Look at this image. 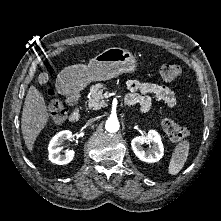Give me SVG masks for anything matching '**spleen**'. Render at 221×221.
I'll list each match as a JSON object with an SVG mask.
<instances>
[{
	"mask_svg": "<svg viewBox=\"0 0 221 221\" xmlns=\"http://www.w3.org/2000/svg\"><path fill=\"white\" fill-rule=\"evenodd\" d=\"M189 147L188 140H184L176 145L168 166L169 174L176 175L183 168L189 154Z\"/></svg>",
	"mask_w": 221,
	"mask_h": 221,
	"instance_id": "obj_1",
	"label": "spleen"
}]
</instances>
